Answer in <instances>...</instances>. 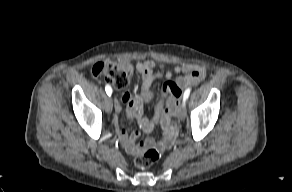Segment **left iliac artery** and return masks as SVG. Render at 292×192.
Masks as SVG:
<instances>
[{
  "mask_svg": "<svg viewBox=\"0 0 292 192\" xmlns=\"http://www.w3.org/2000/svg\"><path fill=\"white\" fill-rule=\"evenodd\" d=\"M191 89L188 88L185 90L184 95H183V102L184 104L186 103V100L188 99L189 95H190Z\"/></svg>",
  "mask_w": 292,
  "mask_h": 192,
  "instance_id": "44dca946",
  "label": "left iliac artery"
}]
</instances>
